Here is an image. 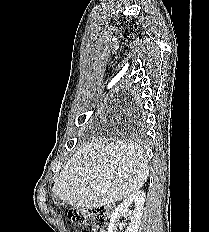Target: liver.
Segmentation results:
<instances>
[{"instance_id":"1","label":"liver","mask_w":209,"mask_h":232,"mask_svg":"<svg viewBox=\"0 0 209 232\" xmlns=\"http://www.w3.org/2000/svg\"><path fill=\"white\" fill-rule=\"evenodd\" d=\"M148 176V159L138 143L94 139L64 164L52 192L74 209H93L127 198Z\"/></svg>"}]
</instances>
